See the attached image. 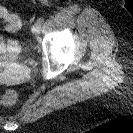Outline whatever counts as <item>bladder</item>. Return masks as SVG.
<instances>
[{
	"instance_id": "31cf9c89",
	"label": "bladder",
	"mask_w": 133,
	"mask_h": 133,
	"mask_svg": "<svg viewBox=\"0 0 133 133\" xmlns=\"http://www.w3.org/2000/svg\"><path fill=\"white\" fill-rule=\"evenodd\" d=\"M22 55L19 48L13 47L7 43L4 35H0V62H13L18 60Z\"/></svg>"
}]
</instances>
